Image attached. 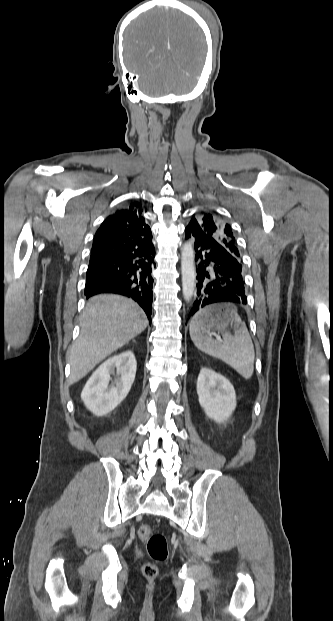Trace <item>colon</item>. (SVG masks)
Returning <instances> with one entry per match:
<instances>
[{"label": "colon", "mask_w": 333, "mask_h": 621, "mask_svg": "<svg viewBox=\"0 0 333 621\" xmlns=\"http://www.w3.org/2000/svg\"><path fill=\"white\" fill-rule=\"evenodd\" d=\"M138 535L141 540L146 542L147 551L151 559L155 562H163L168 557V545L166 537L159 533H154L150 525L144 524L139 527ZM142 574L148 580H153L158 575V567L155 563H145L142 566Z\"/></svg>", "instance_id": "colon-1"}]
</instances>
